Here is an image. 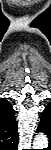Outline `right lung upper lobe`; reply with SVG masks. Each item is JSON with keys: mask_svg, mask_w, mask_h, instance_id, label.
I'll return each mask as SVG.
<instances>
[{"mask_svg": "<svg viewBox=\"0 0 51 150\" xmlns=\"http://www.w3.org/2000/svg\"><path fill=\"white\" fill-rule=\"evenodd\" d=\"M17 122L12 105L4 98L0 99V147L3 150H15L18 144Z\"/></svg>", "mask_w": 51, "mask_h": 150, "instance_id": "right-lung-upper-lobe-1", "label": "right lung upper lobe"}]
</instances>
